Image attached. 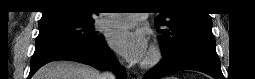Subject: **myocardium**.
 Wrapping results in <instances>:
<instances>
[{"instance_id": "1", "label": "myocardium", "mask_w": 255, "mask_h": 79, "mask_svg": "<svg viewBox=\"0 0 255 79\" xmlns=\"http://www.w3.org/2000/svg\"><path fill=\"white\" fill-rule=\"evenodd\" d=\"M163 58L162 49L158 45H152L146 58L143 60L141 66L144 69H151L156 67Z\"/></svg>"}]
</instances>
